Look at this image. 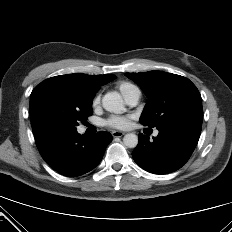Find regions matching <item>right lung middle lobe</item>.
Wrapping results in <instances>:
<instances>
[{
  "instance_id": "1",
  "label": "right lung middle lobe",
  "mask_w": 232,
  "mask_h": 232,
  "mask_svg": "<svg viewBox=\"0 0 232 232\" xmlns=\"http://www.w3.org/2000/svg\"><path fill=\"white\" fill-rule=\"evenodd\" d=\"M94 95L74 79L55 76L43 81L30 95L33 133L53 128L75 130L93 114Z\"/></svg>"
}]
</instances>
